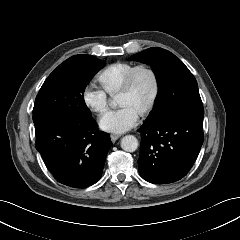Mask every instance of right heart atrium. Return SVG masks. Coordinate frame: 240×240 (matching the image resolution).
<instances>
[{"mask_svg": "<svg viewBox=\"0 0 240 240\" xmlns=\"http://www.w3.org/2000/svg\"><path fill=\"white\" fill-rule=\"evenodd\" d=\"M83 101L85 105L94 113L102 114L108 108V96L107 93L92 85L86 87L83 92Z\"/></svg>", "mask_w": 240, "mask_h": 240, "instance_id": "d8ad5b80", "label": "right heart atrium"}]
</instances>
